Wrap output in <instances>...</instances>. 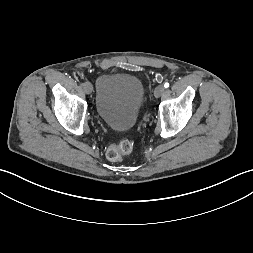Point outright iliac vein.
<instances>
[{"instance_id":"right-iliac-vein-1","label":"right iliac vein","mask_w":253,"mask_h":253,"mask_svg":"<svg viewBox=\"0 0 253 253\" xmlns=\"http://www.w3.org/2000/svg\"><path fill=\"white\" fill-rule=\"evenodd\" d=\"M83 88H84V91H85L86 94H91L92 93L93 87H92L91 83L86 82V84Z\"/></svg>"}]
</instances>
